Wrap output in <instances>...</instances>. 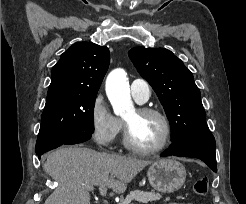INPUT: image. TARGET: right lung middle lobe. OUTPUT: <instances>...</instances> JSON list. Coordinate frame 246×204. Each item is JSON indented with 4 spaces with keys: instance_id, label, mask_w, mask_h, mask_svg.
I'll return each mask as SVG.
<instances>
[{
    "instance_id": "dd1d6c3e",
    "label": "right lung middle lobe",
    "mask_w": 246,
    "mask_h": 204,
    "mask_svg": "<svg viewBox=\"0 0 246 204\" xmlns=\"http://www.w3.org/2000/svg\"><path fill=\"white\" fill-rule=\"evenodd\" d=\"M96 94L69 95L47 101L41 117L36 154L63 145L79 133H93Z\"/></svg>"
}]
</instances>
